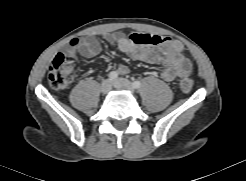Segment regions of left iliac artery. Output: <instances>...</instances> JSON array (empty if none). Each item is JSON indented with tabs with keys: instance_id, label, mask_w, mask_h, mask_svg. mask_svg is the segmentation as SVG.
<instances>
[{
	"instance_id": "44dca946",
	"label": "left iliac artery",
	"mask_w": 246,
	"mask_h": 181,
	"mask_svg": "<svg viewBox=\"0 0 246 181\" xmlns=\"http://www.w3.org/2000/svg\"><path fill=\"white\" fill-rule=\"evenodd\" d=\"M132 86H133V88L138 89L141 87V83H140V81H134L132 83Z\"/></svg>"
}]
</instances>
